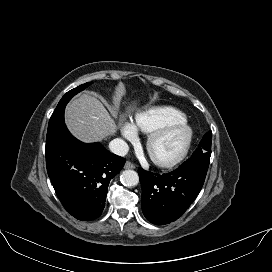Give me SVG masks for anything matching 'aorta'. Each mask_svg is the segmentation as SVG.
Returning <instances> with one entry per match:
<instances>
[{
  "label": "aorta",
  "instance_id": "762f6f07",
  "mask_svg": "<svg viewBox=\"0 0 272 272\" xmlns=\"http://www.w3.org/2000/svg\"><path fill=\"white\" fill-rule=\"evenodd\" d=\"M121 182L127 187L136 186L139 183L138 173L134 170H125L120 176Z\"/></svg>",
  "mask_w": 272,
  "mask_h": 272
}]
</instances>
